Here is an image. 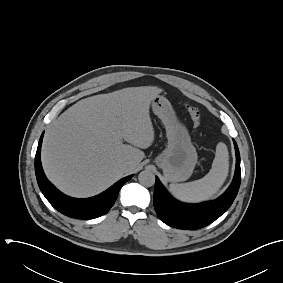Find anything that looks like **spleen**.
Wrapping results in <instances>:
<instances>
[{
	"instance_id": "obj_1",
	"label": "spleen",
	"mask_w": 283,
	"mask_h": 283,
	"mask_svg": "<svg viewBox=\"0 0 283 283\" xmlns=\"http://www.w3.org/2000/svg\"><path fill=\"white\" fill-rule=\"evenodd\" d=\"M229 172L227 146L219 142L212 168L203 178L184 184H170L171 194L182 202L198 203L211 199L224 184Z\"/></svg>"
}]
</instances>
